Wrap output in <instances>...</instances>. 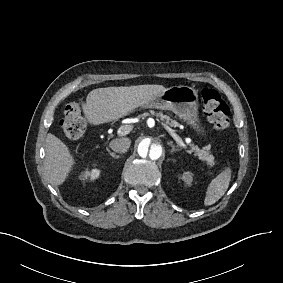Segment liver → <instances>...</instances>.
Instances as JSON below:
<instances>
[{
  "label": "liver",
  "instance_id": "liver-1",
  "mask_svg": "<svg viewBox=\"0 0 283 283\" xmlns=\"http://www.w3.org/2000/svg\"><path fill=\"white\" fill-rule=\"evenodd\" d=\"M163 85H138L129 87L97 88L78 103L83 114V122L90 126H100L114 122L161 96ZM45 175L52 186H62L76 167V157L69 145L52 133L45 142Z\"/></svg>",
  "mask_w": 283,
  "mask_h": 283
}]
</instances>
